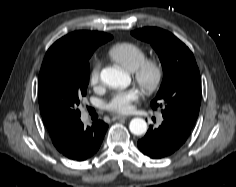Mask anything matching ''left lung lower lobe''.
Here are the masks:
<instances>
[{
    "label": "left lung lower lobe",
    "mask_w": 236,
    "mask_h": 187,
    "mask_svg": "<svg viewBox=\"0 0 236 187\" xmlns=\"http://www.w3.org/2000/svg\"><path fill=\"white\" fill-rule=\"evenodd\" d=\"M164 121L157 129L149 127L146 135L138 141L140 151L153 159L173 154L186 141L192 127L172 118L163 116Z\"/></svg>",
    "instance_id": "1"
}]
</instances>
